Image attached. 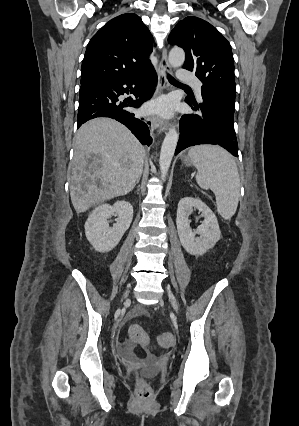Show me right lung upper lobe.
Here are the masks:
<instances>
[{
	"instance_id": "right-lung-upper-lobe-1",
	"label": "right lung upper lobe",
	"mask_w": 299,
	"mask_h": 426,
	"mask_svg": "<svg viewBox=\"0 0 299 426\" xmlns=\"http://www.w3.org/2000/svg\"><path fill=\"white\" fill-rule=\"evenodd\" d=\"M152 43L150 31L136 14L113 18L90 40L80 83H112L152 69L148 60Z\"/></svg>"
}]
</instances>
